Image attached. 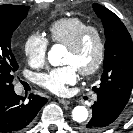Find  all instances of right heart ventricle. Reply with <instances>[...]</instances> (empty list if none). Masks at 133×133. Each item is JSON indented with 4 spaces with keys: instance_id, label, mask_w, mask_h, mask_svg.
Here are the masks:
<instances>
[{
    "instance_id": "1",
    "label": "right heart ventricle",
    "mask_w": 133,
    "mask_h": 133,
    "mask_svg": "<svg viewBox=\"0 0 133 133\" xmlns=\"http://www.w3.org/2000/svg\"><path fill=\"white\" fill-rule=\"evenodd\" d=\"M88 23L79 17L62 18L51 24L50 39L57 44L69 45Z\"/></svg>"
}]
</instances>
